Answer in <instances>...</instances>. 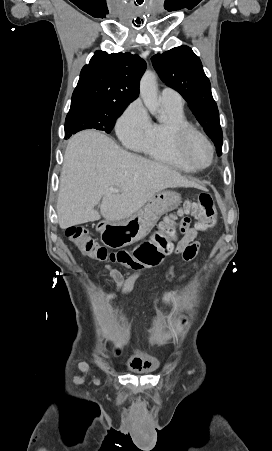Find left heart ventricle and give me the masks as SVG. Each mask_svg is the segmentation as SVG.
<instances>
[{
  "instance_id": "obj_1",
  "label": "left heart ventricle",
  "mask_w": 272,
  "mask_h": 451,
  "mask_svg": "<svg viewBox=\"0 0 272 451\" xmlns=\"http://www.w3.org/2000/svg\"><path fill=\"white\" fill-rule=\"evenodd\" d=\"M188 159L192 166L202 169L209 162V154L198 140H193L188 149Z\"/></svg>"
}]
</instances>
